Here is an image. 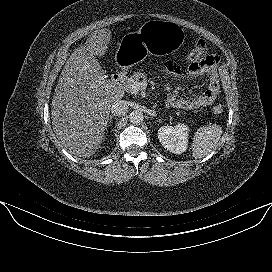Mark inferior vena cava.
<instances>
[{"mask_svg": "<svg viewBox=\"0 0 272 272\" xmlns=\"http://www.w3.org/2000/svg\"><path fill=\"white\" fill-rule=\"evenodd\" d=\"M111 113L114 116H119L124 114L128 109V102L125 100L117 99L111 105Z\"/></svg>", "mask_w": 272, "mask_h": 272, "instance_id": "1", "label": "inferior vena cava"}]
</instances>
